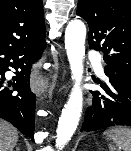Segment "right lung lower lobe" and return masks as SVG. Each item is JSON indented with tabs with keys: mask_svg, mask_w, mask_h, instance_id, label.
I'll return each mask as SVG.
<instances>
[{
	"mask_svg": "<svg viewBox=\"0 0 131 151\" xmlns=\"http://www.w3.org/2000/svg\"><path fill=\"white\" fill-rule=\"evenodd\" d=\"M45 47L46 44L41 43L21 48H0V118L9 121L32 140L36 97L30 90V73L32 64L41 57ZM10 67L17 71L12 89L3 85L4 73Z\"/></svg>",
	"mask_w": 131,
	"mask_h": 151,
	"instance_id": "obj_1",
	"label": "right lung lower lobe"
}]
</instances>
